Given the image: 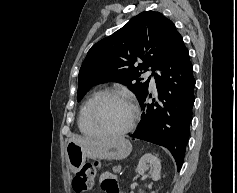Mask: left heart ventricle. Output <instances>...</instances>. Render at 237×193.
Returning <instances> with one entry per match:
<instances>
[{"mask_svg":"<svg viewBox=\"0 0 237 193\" xmlns=\"http://www.w3.org/2000/svg\"><path fill=\"white\" fill-rule=\"evenodd\" d=\"M132 108L124 100L107 98L103 100L96 110L98 125L109 131H118L125 128L131 121Z\"/></svg>","mask_w":237,"mask_h":193,"instance_id":"1","label":"left heart ventricle"}]
</instances>
